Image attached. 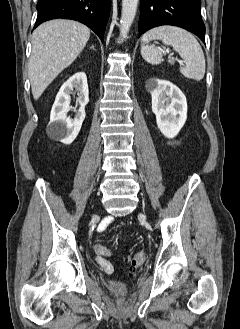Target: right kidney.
I'll use <instances>...</instances> for the list:
<instances>
[{
    "instance_id": "1",
    "label": "right kidney",
    "mask_w": 240,
    "mask_h": 329,
    "mask_svg": "<svg viewBox=\"0 0 240 329\" xmlns=\"http://www.w3.org/2000/svg\"><path fill=\"white\" fill-rule=\"evenodd\" d=\"M75 89L78 92L79 109L75 110L74 119L67 116L70 111V94ZM89 102L87 77L84 72L75 73L60 88L50 114L47 126L48 134L60 142L69 145L77 137L85 119V105Z\"/></svg>"
}]
</instances>
